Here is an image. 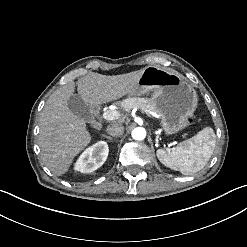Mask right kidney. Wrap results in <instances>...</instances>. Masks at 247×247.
I'll use <instances>...</instances> for the list:
<instances>
[{
  "label": "right kidney",
  "mask_w": 247,
  "mask_h": 247,
  "mask_svg": "<svg viewBox=\"0 0 247 247\" xmlns=\"http://www.w3.org/2000/svg\"><path fill=\"white\" fill-rule=\"evenodd\" d=\"M109 153L107 142L99 141L87 148L78 158L74 165L75 171L91 173L101 167Z\"/></svg>",
  "instance_id": "1"
}]
</instances>
